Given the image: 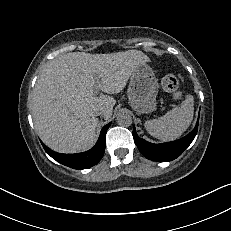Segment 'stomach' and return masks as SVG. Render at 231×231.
Segmentation results:
<instances>
[{"mask_svg": "<svg viewBox=\"0 0 231 231\" xmlns=\"http://www.w3.org/2000/svg\"><path fill=\"white\" fill-rule=\"evenodd\" d=\"M158 80L147 64L139 65L130 77L128 86L129 104L139 114H148L156 109Z\"/></svg>", "mask_w": 231, "mask_h": 231, "instance_id": "obj_1", "label": "stomach"}]
</instances>
